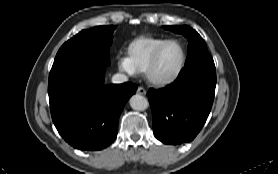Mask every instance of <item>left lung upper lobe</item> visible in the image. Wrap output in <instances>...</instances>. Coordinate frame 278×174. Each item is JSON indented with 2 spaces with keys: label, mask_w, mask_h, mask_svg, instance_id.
Masks as SVG:
<instances>
[{
  "label": "left lung upper lobe",
  "mask_w": 278,
  "mask_h": 174,
  "mask_svg": "<svg viewBox=\"0 0 278 174\" xmlns=\"http://www.w3.org/2000/svg\"><path fill=\"white\" fill-rule=\"evenodd\" d=\"M166 30L183 34L189 41L188 56L180 76H186L198 71L216 74L213 58L209 54L205 41L189 26H163Z\"/></svg>",
  "instance_id": "obj_1"
}]
</instances>
